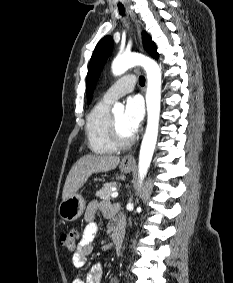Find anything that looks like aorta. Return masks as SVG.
<instances>
[{
  "instance_id": "762f6f07",
  "label": "aorta",
  "mask_w": 233,
  "mask_h": 283,
  "mask_svg": "<svg viewBox=\"0 0 233 283\" xmlns=\"http://www.w3.org/2000/svg\"><path fill=\"white\" fill-rule=\"evenodd\" d=\"M138 65L142 66L147 74V126L141 143L138 163V174L141 183L150 167L158 137L161 102V70L158 64L149 57L139 53H124L113 60L112 73L115 76H119L125 73L129 68ZM123 109V104L116 103L112 110L119 111Z\"/></svg>"
}]
</instances>
